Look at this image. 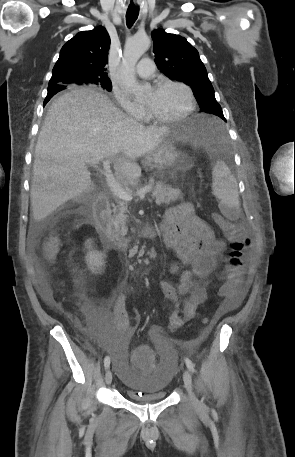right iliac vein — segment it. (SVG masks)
I'll list each match as a JSON object with an SVG mask.
<instances>
[{
    "label": "right iliac vein",
    "mask_w": 295,
    "mask_h": 457,
    "mask_svg": "<svg viewBox=\"0 0 295 457\" xmlns=\"http://www.w3.org/2000/svg\"><path fill=\"white\" fill-rule=\"evenodd\" d=\"M112 378H113V377H112V372H111V370H107V371H106V374H105V382H106L107 385H110V384H111Z\"/></svg>",
    "instance_id": "right-iliac-vein-1"
}]
</instances>
